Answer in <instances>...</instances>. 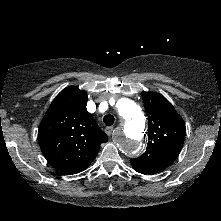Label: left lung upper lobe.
I'll return each mask as SVG.
<instances>
[{
  "instance_id": "1",
  "label": "left lung upper lobe",
  "mask_w": 221,
  "mask_h": 221,
  "mask_svg": "<svg viewBox=\"0 0 221 221\" xmlns=\"http://www.w3.org/2000/svg\"><path fill=\"white\" fill-rule=\"evenodd\" d=\"M141 94L148 115L149 141L145 153L130 162L149 174H156L178 157L186 127L172 104L161 94L145 91Z\"/></svg>"
}]
</instances>
